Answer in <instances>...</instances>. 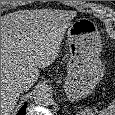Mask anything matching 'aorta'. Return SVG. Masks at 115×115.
Wrapping results in <instances>:
<instances>
[{
	"mask_svg": "<svg viewBox=\"0 0 115 115\" xmlns=\"http://www.w3.org/2000/svg\"><path fill=\"white\" fill-rule=\"evenodd\" d=\"M34 101L36 104L48 105L51 102V95L46 89L42 88L36 93Z\"/></svg>",
	"mask_w": 115,
	"mask_h": 115,
	"instance_id": "762f6f07",
	"label": "aorta"
}]
</instances>
